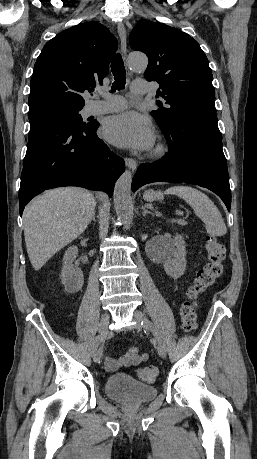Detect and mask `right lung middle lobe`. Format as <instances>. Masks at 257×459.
Masks as SVG:
<instances>
[{
    "mask_svg": "<svg viewBox=\"0 0 257 459\" xmlns=\"http://www.w3.org/2000/svg\"><path fill=\"white\" fill-rule=\"evenodd\" d=\"M83 107H56L29 113V120L42 118L52 119L68 125L83 127L89 123L82 120L80 112Z\"/></svg>",
    "mask_w": 257,
    "mask_h": 459,
    "instance_id": "right-lung-middle-lobe-1",
    "label": "right lung middle lobe"
}]
</instances>
